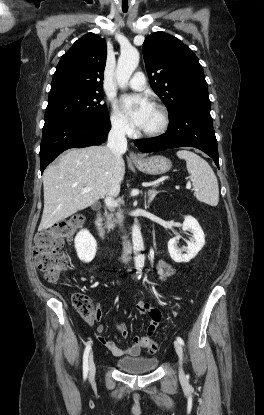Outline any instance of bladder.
I'll list each match as a JSON object with an SVG mask.
<instances>
[{
  "mask_svg": "<svg viewBox=\"0 0 264 415\" xmlns=\"http://www.w3.org/2000/svg\"><path fill=\"white\" fill-rule=\"evenodd\" d=\"M159 360L157 358L144 357H125L118 359L116 365L128 373H144L153 371L157 368Z\"/></svg>",
  "mask_w": 264,
  "mask_h": 415,
  "instance_id": "obj_1",
  "label": "bladder"
}]
</instances>
